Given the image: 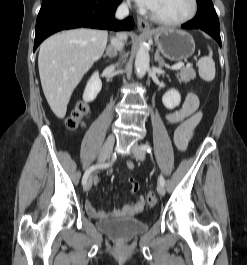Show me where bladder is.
<instances>
[{"label": "bladder", "mask_w": 247, "mask_h": 265, "mask_svg": "<svg viewBox=\"0 0 247 265\" xmlns=\"http://www.w3.org/2000/svg\"><path fill=\"white\" fill-rule=\"evenodd\" d=\"M98 226L103 233L117 241L130 240L148 228L147 223L133 218L106 219L100 221Z\"/></svg>", "instance_id": "obj_1"}]
</instances>
